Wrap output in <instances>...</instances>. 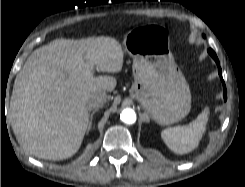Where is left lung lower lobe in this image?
<instances>
[{"label": "left lung lower lobe", "instance_id": "left-lung-lower-lobe-1", "mask_svg": "<svg viewBox=\"0 0 245 187\" xmlns=\"http://www.w3.org/2000/svg\"><path fill=\"white\" fill-rule=\"evenodd\" d=\"M208 53H209V54L211 55V57L215 60L217 66H218V73H219L220 79H221V81H222V83H223V89H224V101H226V100H227V97H226L227 92H226L225 83H224V80H223V77H222V70H221V68H220V62H219V60H218V58H217V56H216V53H215L212 49H209V50H208Z\"/></svg>", "mask_w": 245, "mask_h": 187}]
</instances>
